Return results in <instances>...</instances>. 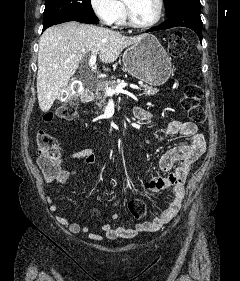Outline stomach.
<instances>
[{
  "label": "stomach",
  "mask_w": 240,
  "mask_h": 281,
  "mask_svg": "<svg viewBox=\"0 0 240 281\" xmlns=\"http://www.w3.org/2000/svg\"><path fill=\"white\" fill-rule=\"evenodd\" d=\"M122 61L128 73L154 86L164 84L172 72L171 59L153 35L126 49Z\"/></svg>",
  "instance_id": "stomach-1"
}]
</instances>
